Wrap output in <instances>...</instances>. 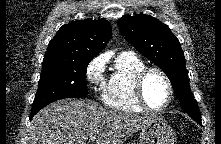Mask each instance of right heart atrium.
I'll return each mask as SVG.
<instances>
[{
	"mask_svg": "<svg viewBox=\"0 0 221 144\" xmlns=\"http://www.w3.org/2000/svg\"><path fill=\"white\" fill-rule=\"evenodd\" d=\"M105 59L103 56L95 57L87 66L86 80L89 86L97 93L104 94L105 91Z\"/></svg>",
	"mask_w": 221,
	"mask_h": 144,
	"instance_id": "d8ad5b80",
	"label": "right heart atrium"
}]
</instances>
